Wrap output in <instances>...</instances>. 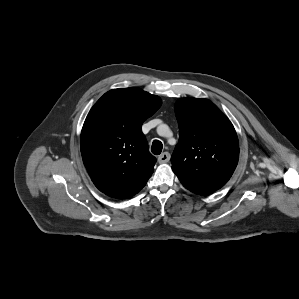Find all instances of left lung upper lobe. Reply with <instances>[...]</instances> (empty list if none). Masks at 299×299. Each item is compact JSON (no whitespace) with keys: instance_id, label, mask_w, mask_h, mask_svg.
<instances>
[{"instance_id":"5c2ea615","label":"left lung upper lobe","mask_w":299,"mask_h":299,"mask_svg":"<svg viewBox=\"0 0 299 299\" xmlns=\"http://www.w3.org/2000/svg\"><path fill=\"white\" fill-rule=\"evenodd\" d=\"M175 113L179 142L171 157L174 173L193 193L205 195L220 189L232 176L239 158L232 123L204 98L180 99Z\"/></svg>"}]
</instances>
